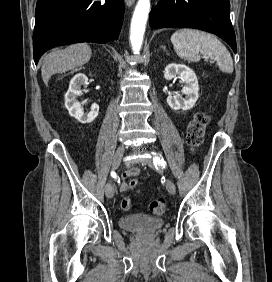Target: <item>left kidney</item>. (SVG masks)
Masks as SVG:
<instances>
[{
	"label": "left kidney",
	"mask_w": 272,
	"mask_h": 282,
	"mask_svg": "<svg viewBox=\"0 0 272 282\" xmlns=\"http://www.w3.org/2000/svg\"><path fill=\"white\" fill-rule=\"evenodd\" d=\"M175 77L181 78L186 83L181 91L185 97L183 98L179 93L169 95L167 104L173 110H189L198 99L199 85L196 74L186 65L171 63L165 67L164 78L170 81Z\"/></svg>",
	"instance_id": "obj_1"
}]
</instances>
